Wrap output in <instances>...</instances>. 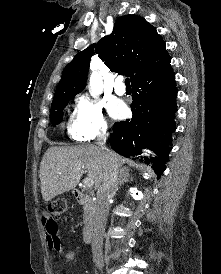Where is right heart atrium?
Segmentation results:
<instances>
[{"label":"right heart atrium","instance_id":"right-heart-atrium-1","mask_svg":"<svg viewBox=\"0 0 221 274\" xmlns=\"http://www.w3.org/2000/svg\"><path fill=\"white\" fill-rule=\"evenodd\" d=\"M76 108L70 131L73 139L88 141L107 131L108 124L102 103L88 96H81L76 101Z\"/></svg>","mask_w":221,"mask_h":274}]
</instances>
